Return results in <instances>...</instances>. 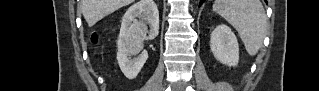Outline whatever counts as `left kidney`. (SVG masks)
<instances>
[{"label": "left kidney", "mask_w": 319, "mask_h": 91, "mask_svg": "<svg viewBox=\"0 0 319 91\" xmlns=\"http://www.w3.org/2000/svg\"><path fill=\"white\" fill-rule=\"evenodd\" d=\"M210 48L214 57L227 66H237L239 45L235 34L225 25H218L211 33Z\"/></svg>", "instance_id": "left-kidney-1"}]
</instances>
